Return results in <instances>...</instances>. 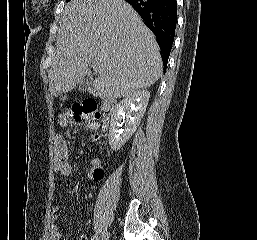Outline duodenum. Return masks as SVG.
Returning a JSON list of instances; mask_svg holds the SVG:
<instances>
[{"instance_id":"obj_1","label":"duodenum","mask_w":257,"mask_h":240,"mask_svg":"<svg viewBox=\"0 0 257 240\" xmlns=\"http://www.w3.org/2000/svg\"><path fill=\"white\" fill-rule=\"evenodd\" d=\"M90 92L96 96L100 97L103 101V111H104V124L105 127L107 128L110 122V118L112 116V113L116 107V100L110 96L101 94L100 92L90 89Z\"/></svg>"}]
</instances>
